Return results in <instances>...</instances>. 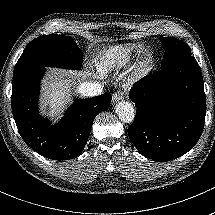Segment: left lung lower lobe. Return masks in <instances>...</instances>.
<instances>
[{
	"label": "left lung lower lobe",
	"instance_id": "1",
	"mask_svg": "<svg viewBox=\"0 0 215 215\" xmlns=\"http://www.w3.org/2000/svg\"><path fill=\"white\" fill-rule=\"evenodd\" d=\"M130 98L136 116L128 135L142 155L166 162L184 155L199 140L206 99L195 58L142 78L133 86Z\"/></svg>",
	"mask_w": 215,
	"mask_h": 215
}]
</instances>
